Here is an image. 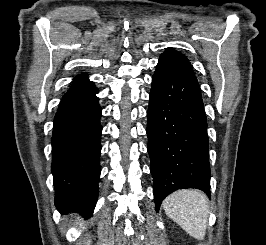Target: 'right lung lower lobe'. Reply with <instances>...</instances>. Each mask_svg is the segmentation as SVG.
Returning <instances> with one entry per match:
<instances>
[{"mask_svg":"<svg viewBox=\"0 0 266 245\" xmlns=\"http://www.w3.org/2000/svg\"><path fill=\"white\" fill-rule=\"evenodd\" d=\"M94 83H72L54 117L52 165L61 213L91 214L98 198L101 107Z\"/></svg>","mask_w":266,"mask_h":245,"instance_id":"obj_1","label":"right lung lower lobe"}]
</instances>
